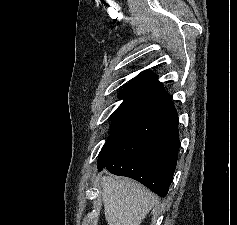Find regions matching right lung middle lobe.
I'll return each instance as SVG.
<instances>
[{
  "instance_id": "dd1d6c3e",
  "label": "right lung middle lobe",
  "mask_w": 237,
  "mask_h": 225,
  "mask_svg": "<svg viewBox=\"0 0 237 225\" xmlns=\"http://www.w3.org/2000/svg\"><path fill=\"white\" fill-rule=\"evenodd\" d=\"M123 123L113 121L112 122V128H111V133L116 130L118 127H120Z\"/></svg>"
}]
</instances>
